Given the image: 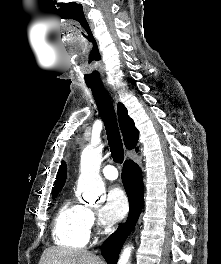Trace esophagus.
<instances>
[{
  "label": "esophagus",
  "mask_w": 221,
  "mask_h": 264,
  "mask_svg": "<svg viewBox=\"0 0 221 264\" xmlns=\"http://www.w3.org/2000/svg\"><path fill=\"white\" fill-rule=\"evenodd\" d=\"M105 88L109 92V94L113 97L115 102H117V95H116L115 91L112 89V87L110 85H106Z\"/></svg>",
  "instance_id": "esophagus-1"
}]
</instances>
